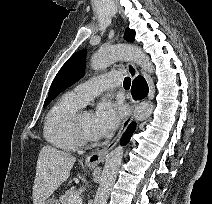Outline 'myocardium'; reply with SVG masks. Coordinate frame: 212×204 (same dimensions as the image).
<instances>
[{
	"mask_svg": "<svg viewBox=\"0 0 212 204\" xmlns=\"http://www.w3.org/2000/svg\"><path fill=\"white\" fill-rule=\"evenodd\" d=\"M82 111H79L75 114L72 121V129L75 136V139L79 146L89 147L94 144L95 140L89 138L83 131L80 123V117L82 115Z\"/></svg>",
	"mask_w": 212,
	"mask_h": 204,
	"instance_id": "1",
	"label": "myocardium"
}]
</instances>
